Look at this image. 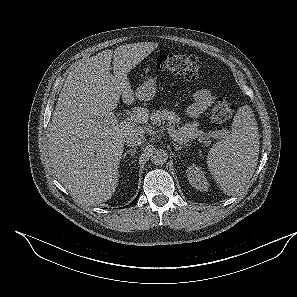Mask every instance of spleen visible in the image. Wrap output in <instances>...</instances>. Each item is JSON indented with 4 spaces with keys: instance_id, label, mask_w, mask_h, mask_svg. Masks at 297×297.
Returning a JSON list of instances; mask_svg holds the SVG:
<instances>
[{
    "instance_id": "obj_1",
    "label": "spleen",
    "mask_w": 297,
    "mask_h": 297,
    "mask_svg": "<svg viewBox=\"0 0 297 297\" xmlns=\"http://www.w3.org/2000/svg\"><path fill=\"white\" fill-rule=\"evenodd\" d=\"M259 144L254 113L244 105L234 116L231 132L207 156L208 169L225 194L236 195L245 189L257 165Z\"/></svg>"
}]
</instances>
